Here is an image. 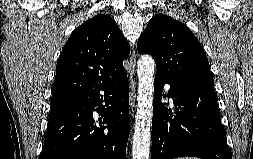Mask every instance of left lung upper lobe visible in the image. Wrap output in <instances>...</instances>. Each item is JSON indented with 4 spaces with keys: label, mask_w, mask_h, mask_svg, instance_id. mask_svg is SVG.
Segmentation results:
<instances>
[{
    "label": "left lung upper lobe",
    "mask_w": 253,
    "mask_h": 159,
    "mask_svg": "<svg viewBox=\"0 0 253 159\" xmlns=\"http://www.w3.org/2000/svg\"><path fill=\"white\" fill-rule=\"evenodd\" d=\"M137 49L154 57L158 76L214 87L201 44L184 24L167 15L158 14L150 20Z\"/></svg>",
    "instance_id": "5c2ea615"
}]
</instances>
